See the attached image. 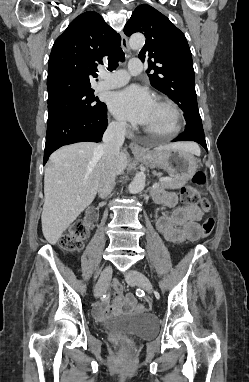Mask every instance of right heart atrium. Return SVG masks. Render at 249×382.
Masks as SVG:
<instances>
[{"label":"right heart atrium","instance_id":"d8ad5b80","mask_svg":"<svg viewBox=\"0 0 249 382\" xmlns=\"http://www.w3.org/2000/svg\"><path fill=\"white\" fill-rule=\"evenodd\" d=\"M111 128L116 133H125L127 130V125L121 120H115L111 123Z\"/></svg>","mask_w":249,"mask_h":382}]
</instances>
